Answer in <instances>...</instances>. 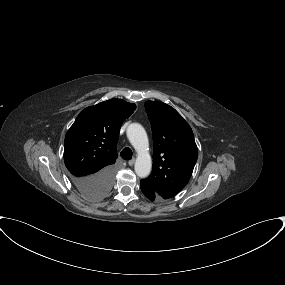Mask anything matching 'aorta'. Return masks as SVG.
I'll use <instances>...</instances> for the list:
<instances>
[{
  "instance_id": "762f6f07",
  "label": "aorta",
  "mask_w": 285,
  "mask_h": 285,
  "mask_svg": "<svg viewBox=\"0 0 285 285\" xmlns=\"http://www.w3.org/2000/svg\"><path fill=\"white\" fill-rule=\"evenodd\" d=\"M127 137L137 152L135 172L140 178L149 176L152 168L149 155V142L145 129L139 123H132L127 128Z\"/></svg>"
}]
</instances>
